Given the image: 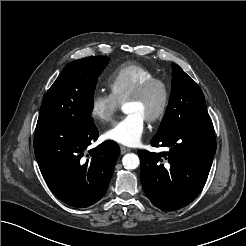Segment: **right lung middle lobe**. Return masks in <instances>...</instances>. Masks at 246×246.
<instances>
[{
    "label": "right lung middle lobe",
    "instance_id": "right-lung-middle-lobe-1",
    "mask_svg": "<svg viewBox=\"0 0 246 246\" xmlns=\"http://www.w3.org/2000/svg\"><path fill=\"white\" fill-rule=\"evenodd\" d=\"M108 57H87L69 63L47 91L37 124L89 128L97 78L109 62Z\"/></svg>",
    "mask_w": 246,
    "mask_h": 246
}]
</instances>
